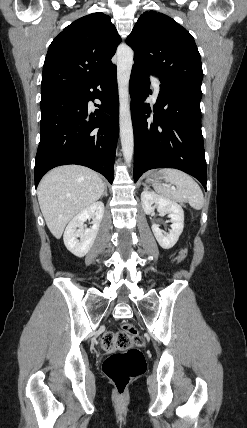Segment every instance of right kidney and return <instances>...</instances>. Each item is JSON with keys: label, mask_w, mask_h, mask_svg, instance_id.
Wrapping results in <instances>:
<instances>
[{"label": "right kidney", "mask_w": 247, "mask_h": 428, "mask_svg": "<svg viewBox=\"0 0 247 428\" xmlns=\"http://www.w3.org/2000/svg\"><path fill=\"white\" fill-rule=\"evenodd\" d=\"M103 215L104 203L98 201L81 211L69 222L63 240L66 248L72 254L83 257L89 252L99 231ZM91 218L93 219L92 227L84 229V222Z\"/></svg>", "instance_id": "1"}]
</instances>
